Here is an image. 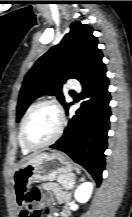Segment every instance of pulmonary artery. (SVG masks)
<instances>
[{"instance_id":"e3ab8cb5","label":"pulmonary artery","mask_w":132,"mask_h":217,"mask_svg":"<svg viewBox=\"0 0 132 217\" xmlns=\"http://www.w3.org/2000/svg\"><path fill=\"white\" fill-rule=\"evenodd\" d=\"M70 88L79 91L81 89L80 85L76 82L70 83Z\"/></svg>"}]
</instances>
